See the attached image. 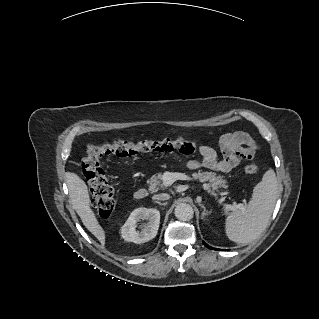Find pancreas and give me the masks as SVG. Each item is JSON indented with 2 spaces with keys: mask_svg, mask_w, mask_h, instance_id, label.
Segmentation results:
<instances>
[{
  "mask_svg": "<svg viewBox=\"0 0 319 319\" xmlns=\"http://www.w3.org/2000/svg\"><path fill=\"white\" fill-rule=\"evenodd\" d=\"M162 176V173L152 175L149 181L150 191L155 192L158 189L163 188ZM192 176L193 178L198 179L200 182L209 181V185L211 186L213 191L218 190L220 188L228 187L227 180L222 175H217L215 172L199 171L197 173H193Z\"/></svg>",
  "mask_w": 319,
  "mask_h": 319,
  "instance_id": "1",
  "label": "pancreas"
}]
</instances>
